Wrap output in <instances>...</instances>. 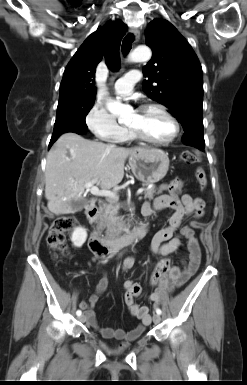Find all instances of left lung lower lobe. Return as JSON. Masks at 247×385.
<instances>
[{
  "instance_id": "0a47b994",
  "label": "left lung lower lobe",
  "mask_w": 247,
  "mask_h": 385,
  "mask_svg": "<svg viewBox=\"0 0 247 385\" xmlns=\"http://www.w3.org/2000/svg\"><path fill=\"white\" fill-rule=\"evenodd\" d=\"M183 142L186 145L196 147L198 149H204L205 141L203 136V129L192 128L184 131Z\"/></svg>"
}]
</instances>
